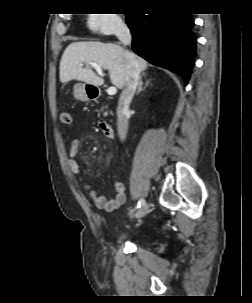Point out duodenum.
<instances>
[{"instance_id": "duodenum-1", "label": "duodenum", "mask_w": 252, "mask_h": 303, "mask_svg": "<svg viewBox=\"0 0 252 303\" xmlns=\"http://www.w3.org/2000/svg\"><path fill=\"white\" fill-rule=\"evenodd\" d=\"M87 93L90 98H95L98 96V93L93 92L91 90H87ZM100 128L107 139H113L114 131H113L112 126L109 123H106V122L100 123Z\"/></svg>"}]
</instances>
